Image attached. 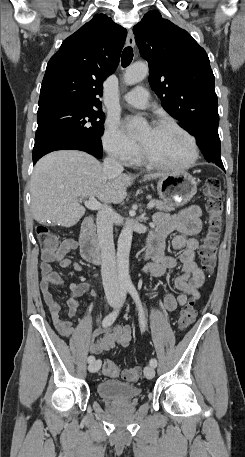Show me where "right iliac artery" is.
Here are the masks:
<instances>
[{"instance_id":"82829eb1","label":"right iliac artery","mask_w":245,"mask_h":457,"mask_svg":"<svg viewBox=\"0 0 245 457\" xmlns=\"http://www.w3.org/2000/svg\"><path fill=\"white\" fill-rule=\"evenodd\" d=\"M126 295H127V288L125 287H121L120 289V298H119V302H118V305L116 306V308L110 313L108 314L102 321V326L103 327H107V326H110L117 318L118 314H119V311L126 299ZM95 360V357L93 355H90L88 357V362L89 363H92L93 361Z\"/></svg>"}]
</instances>
